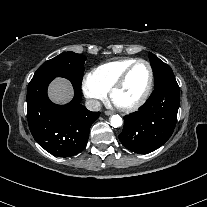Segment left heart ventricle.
I'll return each instance as SVG.
<instances>
[{"mask_svg": "<svg viewBox=\"0 0 207 207\" xmlns=\"http://www.w3.org/2000/svg\"><path fill=\"white\" fill-rule=\"evenodd\" d=\"M149 81L145 64L136 65L129 73L124 85L115 93L114 102L121 106L136 102L144 93Z\"/></svg>", "mask_w": 207, "mask_h": 207, "instance_id": "1", "label": "left heart ventricle"}]
</instances>
